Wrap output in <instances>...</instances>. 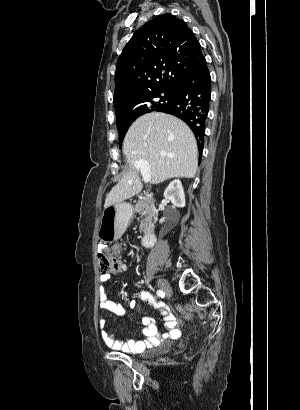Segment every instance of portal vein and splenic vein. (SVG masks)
Wrapping results in <instances>:
<instances>
[{"mask_svg": "<svg viewBox=\"0 0 300 410\" xmlns=\"http://www.w3.org/2000/svg\"><path fill=\"white\" fill-rule=\"evenodd\" d=\"M135 166L140 170L144 183H149L151 181V176L148 162L146 160H140L135 163Z\"/></svg>", "mask_w": 300, "mask_h": 410, "instance_id": "1", "label": "portal vein and splenic vein"}]
</instances>
